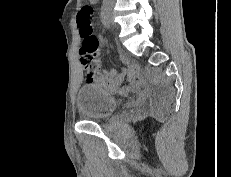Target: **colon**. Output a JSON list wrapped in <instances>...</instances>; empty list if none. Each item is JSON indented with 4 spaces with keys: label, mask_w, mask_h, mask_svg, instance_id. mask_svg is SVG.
<instances>
[{
    "label": "colon",
    "mask_w": 231,
    "mask_h": 177,
    "mask_svg": "<svg viewBox=\"0 0 231 177\" xmlns=\"http://www.w3.org/2000/svg\"><path fill=\"white\" fill-rule=\"evenodd\" d=\"M93 10L89 5H84L78 16V26L83 39L80 48L81 63L86 67H92L99 48V40L93 33L91 23Z\"/></svg>",
    "instance_id": "colon-1"
}]
</instances>
